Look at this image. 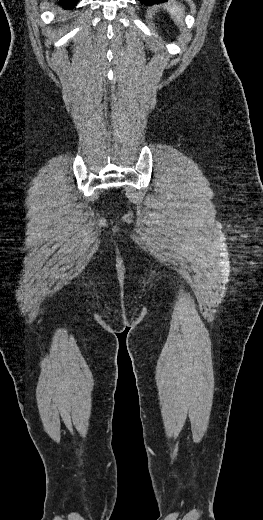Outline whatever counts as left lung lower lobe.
<instances>
[{"instance_id": "obj_1", "label": "left lung lower lobe", "mask_w": 263, "mask_h": 520, "mask_svg": "<svg viewBox=\"0 0 263 520\" xmlns=\"http://www.w3.org/2000/svg\"><path fill=\"white\" fill-rule=\"evenodd\" d=\"M143 4L145 5H152V4H156V3H161V2H165L167 0H140Z\"/></svg>"}]
</instances>
